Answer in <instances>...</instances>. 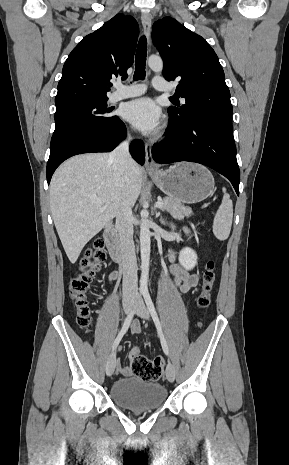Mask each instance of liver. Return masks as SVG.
I'll use <instances>...</instances> for the list:
<instances>
[{"label":"liver","mask_w":289,"mask_h":465,"mask_svg":"<svg viewBox=\"0 0 289 465\" xmlns=\"http://www.w3.org/2000/svg\"><path fill=\"white\" fill-rule=\"evenodd\" d=\"M141 186V167L131 159L126 171L118 173L109 162L108 153L77 155L57 168L50 183V207L72 264L87 242L117 215L123 203L131 207L135 204Z\"/></svg>","instance_id":"1"}]
</instances>
